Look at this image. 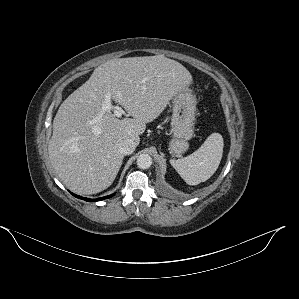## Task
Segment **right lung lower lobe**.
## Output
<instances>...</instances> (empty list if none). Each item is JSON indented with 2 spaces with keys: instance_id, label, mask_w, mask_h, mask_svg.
Wrapping results in <instances>:
<instances>
[{
  "instance_id": "obj_1",
  "label": "right lung lower lobe",
  "mask_w": 299,
  "mask_h": 299,
  "mask_svg": "<svg viewBox=\"0 0 299 299\" xmlns=\"http://www.w3.org/2000/svg\"><path fill=\"white\" fill-rule=\"evenodd\" d=\"M73 196H75V197H77V198H79V199H83V200H85V201H100V200H103V199H107V198H110V197H112L113 195H109V196H105V197H102V198H98V199H89V198H84V197H81V196H79V195H75V194H73V193H71Z\"/></svg>"
}]
</instances>
